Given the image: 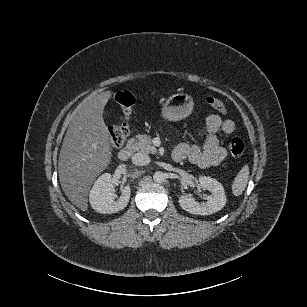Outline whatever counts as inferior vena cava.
Here are the masks:
<instances>
[{
	"label": "inferior vena cava",
	"instance_id": "inferior-vena-cava-1",
	"mask_svg": "<svg viewBox=\"0 0 307 307\" xmlns=\"http://www.w3.org/2000/svg\"><path fill=\"white\" fill-rule=\"evenodd\" d=\"M150 162V159L147 155L143 153H136L132 156V163L137 166H144Z\"/></svg>",
	"mask_w": 307,
	"mask_h": 307
}]
</instances>
